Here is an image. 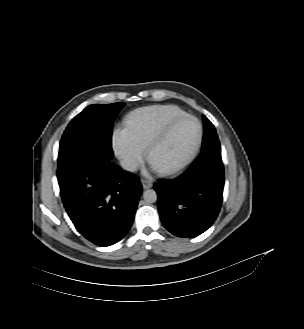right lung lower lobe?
I'll return each mask as SVG.
<instances>
[{
	"label": "right lung lower lobe",
	"instance_id": "1",
	"mask_svg": "<svg viewBox=\"0 0 304 329\" xmlns=\"http://www.w3.org/2000/svg\"><path fill=\"white\" fill-rule=\"evenodd\" d=\"M64 206L78 231L110 246L129 231L142 193L139 179L118 165L78 161L58 168Z\"/></svg>",
	"mask_w": 304,
	"mask_h": 329
}]
</instances>
